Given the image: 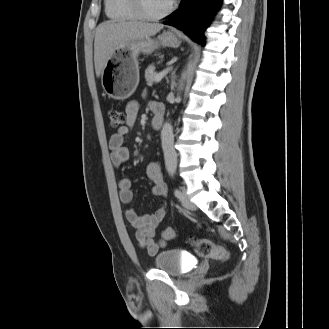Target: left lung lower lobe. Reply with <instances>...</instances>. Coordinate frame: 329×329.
I'll return each mask as SVG.
<instances>
[{"label": "left lung lower lobe", "instance_id": "0a47b994", "mask_svg": "<svg viewBox=\"0 0 329 329\" xmlns=\"http://www.w3.org/2000/svg\"><path fill=\"white\" fill-rule=\"evenodd\" d=\"M221 0H182L180 9L163 22L184 31L190 38L204 45L203 31L218 10Z\"/></svg>", "mask_w": 329, "mask_h": 329}]
</instances>
